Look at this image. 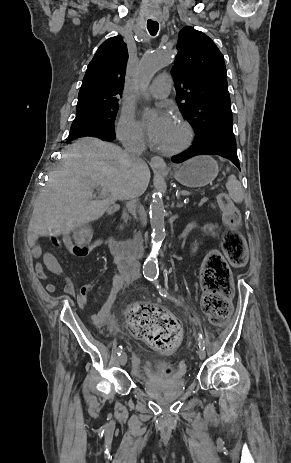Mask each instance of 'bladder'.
I'll list each match as a JSON object with an SVG mask.
<instances>
[{
    "label": "bladder",
    "mask_w": 291,
    "mask_h": 463,
    "mask_svg": "<svg viewBox=\"0 0 291 463\" xmlns=\"http://www.w3.org/2000/svg\"><path fill=\"white\" fill-rule=\"evenodd\" d=\"M138 361H139V363H142V362H143V360L140 359V358H138ZM146 382H147V381H146ZM183 384H184V381H180V382L176 383V385H178V386H182Z\"/></svg>",
    "instance_id": "bladder-1"
}]
</instances>
